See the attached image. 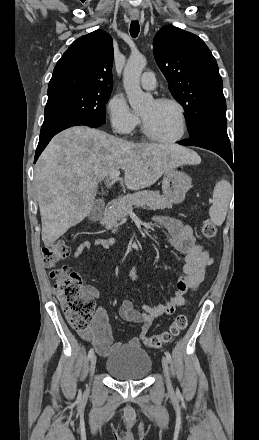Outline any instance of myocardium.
I'll use <instances>...</instances> for the list:
<instances>
[{"label": "myocardium", "mask_w": 259, "mask_h": 440, "mask_svg": "<svg viewBox=\"0 0 259 440\" xmlns=\"http://www.w3.org/2000/svg\"><path fill=\"white\" fill-rule=\"evenodd\" d=\"M154 101L158 104H171L177 109L178 116H179L180 129H179L178 134L172 138H160L151 132L145 119L141 116L142 131H143L144 135L150 141L160 143V144H172V143L178 142L179 140H181L184 137L186 130H187V121H186L185 109H184L183 105L179 101H177L176 99L168 98V97L157 98Z\"/></svg>", "instance_id": "myocardium-1"}]
</instances>
